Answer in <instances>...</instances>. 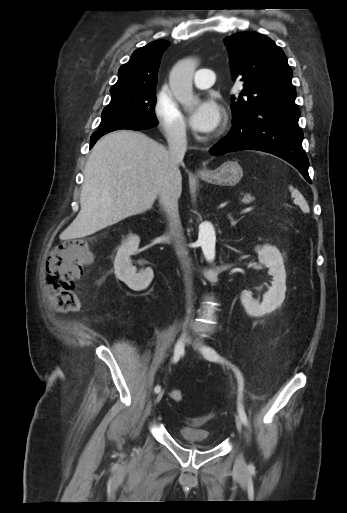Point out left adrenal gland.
I'll list each match as a JSON object with an SVG mask.
<instances>
[{
    "mask_svg": "<svg viewBox=\"0 0 347 513\" xmlns=\"http://www.w3.org/2000/svg\"><path fill=\"white\" fill-rule=\"evenodd\" d=\"M228 218L230 220V223H231L232 227L235 226L242 219V217H241L238 220H234V218L231 216V214H228Z\"/></svg>",
    "mask_w": 347,
    "mask_h": 513,
    "instance_id": "a2214340",
    "label": "left adrenal gland"
}]
</instances>
